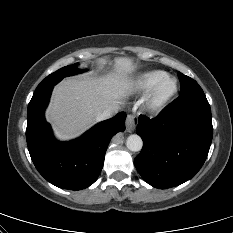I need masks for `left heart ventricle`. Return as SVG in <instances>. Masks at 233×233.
Masks as SVG:
<instances>
[{"mask_svg": "<svg viewBox=\"0 0 233 233\" xmlns=\"http://www.w3.org/2000/svg\"><path fill=\"white\" fill-rule=\"evenodd\" d=\"M168 87H169V85H166V86H165V89H167Z\"/></svg>", "mask_w": 233, "mask_h": 233, "instance_id": "obj_1", "label": "left heart ventricle"}]
</instances>
